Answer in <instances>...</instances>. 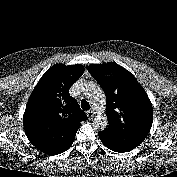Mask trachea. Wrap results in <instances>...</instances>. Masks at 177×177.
Wrapping results in <instances>:
<instances>
[{"mask_svg": "<svg viewBox=\"0 0 177 177\" xmlns=\"http://www.w3.org/2000/svg\"><path fill=\"white\" fill-rule=\"evenodd\" d=\"M81 108L83 110H89L90 109V104L85 99H83L81 101Z\"/></svg>", "mask_w": 177, "mask_h": 177, "instance_id": "obj_1", "label": "trachea"}]
</instances>
